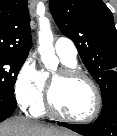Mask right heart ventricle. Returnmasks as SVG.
Segmentation results:
<instances>
[{"instance_id":"right-heart-ventricle-1","label":"right heart ventricle","mask_w":117,"mask_h":136,"mask_svg":"<svg viewBox=\"0 0 117 136\" xmlns=\"http://www.w3.org/2000/svg\"><path fill=\"white\" fill-rule=\"evenodd\" d=\"M61 62L63 64V66H65V67H75L76 66V62L66 61L64 59H61ZM42 74H43L44 88H45V86L47 85V82H48L49 74L45 71H43ZM31 113L35 116H41L46 113V107H45L44 100H43L42 96H41L40 100L33 107H31Z\"/></svg>"}]
</instances>
